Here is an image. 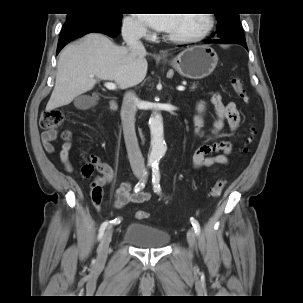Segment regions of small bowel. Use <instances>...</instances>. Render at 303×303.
Wrapping results in <instances>:
<instances>
[{"label": "small bowel", "instance_id": "c3829d8e", "mask_svg": "<svg viewBox=\"0 0 303 303\" xmlns=\"http://www.w3.org/2000/svg\"><path fill=\"white\" fill-rule=\"evenodd\" d=\"M210 102L215 107V119L209 133L204 131L205 101H198L195 105L193 117L194 132L208 141V144L199 146L192 154L191 164L196 169H214L219 165L228 164V155L232 151V142L220 139V131L227 121L233 135L242 119L237 105L233 102L223 103L219 94H214ZM58 136L59 131L57 129L47 130L42 133V146L47 153L55 152L53 143ZM70 150L71 144L69 142L63 143L59 150V159L67 171L74 172L75 169L69 159ZM97 167L100 174L95 178L96 183L101 187L107 186L113 180L112 167L100 161L97 162ZM113 197L115 205L121 208L130 203L145 202L150 198V195L143 191L135 192L132 183L126 181L114 190Z\"/></svg>", "mask_w": 303, "mask_h": 303}]
</instances>
